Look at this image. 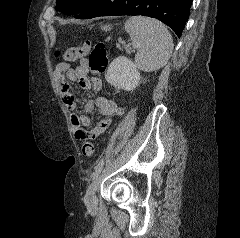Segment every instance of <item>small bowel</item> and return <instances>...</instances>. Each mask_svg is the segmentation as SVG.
<instances>
[{
	"mask_svg": "<svg viewBox=\"0 0 240 238\" xmlns=\"http://www.w3.org/2000/svg\"><path fill=\"white\" fill-rule=\"evenodd\" d=\"M88 74L89 67L86 59H82L75 68L67 63H59L54 72L59 95L64 104L72 111L70 120L73 133L77 139H83L85 134L91 138L99 136L109 127L113 116H120L124 112L121 106L107 97L99 96L95 100L83 99L86 112H91L97 107L103 116L102 120L90 132L84 129L91 125V120L87 115H80L76 112V100L70 92L67 81L77 82L84 90L100 91L102 88L101 79L98 77L90 78Z\"/></svg>",
	"mask_w": 240,
	"mask_h": 238,
	"instance_id": "c3829d8e",
	"label": "small bowel"
}]
</instances>
